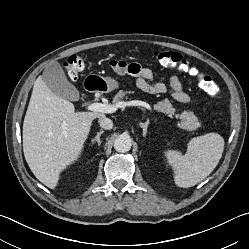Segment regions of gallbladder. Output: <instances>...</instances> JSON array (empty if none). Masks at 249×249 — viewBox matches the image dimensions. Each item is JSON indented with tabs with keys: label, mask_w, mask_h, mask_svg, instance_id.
I'll list each match as a JSON object with an SVG mask.
<instances>
[{
	"label": "gallbladder",
	"mask_w": 249,
	"mask_h": 249,
	"mask_svg": "<svg viewBox=\"0 0 249 249\" xmlns=\"http://www.w3.org/2000/svg\"><path fill=\"white\" fill-rule=\"evenodd\" d=\"M42 79L46 86L57 96L72 101L79 99V91L68 81L64 70L58 62L52 63L45 68Z\"/></svg>",
	"instance_id": "gallbladder-1"
}]
</instances>
